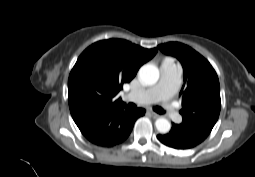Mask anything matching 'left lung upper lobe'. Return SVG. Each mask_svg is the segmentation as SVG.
<instances>
[{
  "mask_svg": "<svg viewBox=\"0 0 255 177\" xmlns=\"http://www.w3.org/2000/svg\"><path fill=\"white\" fill-rule=\"evenodd\" d=\"M158 48L163 53L176 57L183 67L181 125L207 137L217 122L221 109L220 85L215 70L203 56L187 45L169 42Z\"/></svg>",
  "mask_w": 255,
  "mask_h": 177,
  "instance_id": "obj_1",
  "label": "left lung upper lobe"
}]
</instances>
